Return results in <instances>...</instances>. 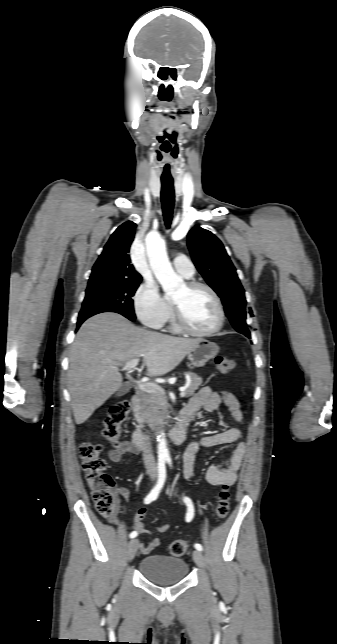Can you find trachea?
Here are the masks:
<instances>
[{"mask_svg":"<svg viewBox=\"0 0 337 644\" xmlns=\"http://www.w3.org/2000/svg\"><path fill=\"white\" fill-rule=\"evenodd\" d=\"M161 202L164 221L167 228L170 227L174 208V185L172 180H161Z\"/></svg>","mask_w":337,"mask_h":644,"instance_id":"trachea-1","label":"trachea"}]
</instances>
